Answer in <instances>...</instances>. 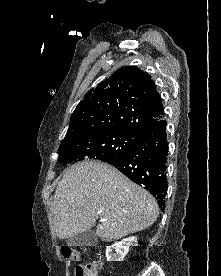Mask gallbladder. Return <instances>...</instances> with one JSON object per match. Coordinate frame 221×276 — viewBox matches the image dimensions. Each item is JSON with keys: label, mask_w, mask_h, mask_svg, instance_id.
I'll list each match as a JSON object with an SVG mask.
<instances>
[{"label": "gallbladder", "mask_w": 221, "mask_h": 276, "mask_svg": "<svg viewBox=\"0 0 221 276\" xmlns=\"http://www.w3.org/2000/svg\"><path fill=\"white\" fill-rule=\"evenodd\" d=\"M97 242L98 238L93 230L78 233L67 240L68 245L81 247L94 246Z\"/></svg>", "instance_id": "1"}]
</instances>
